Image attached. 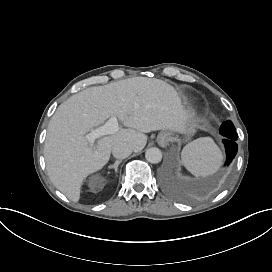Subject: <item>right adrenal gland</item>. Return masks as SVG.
I'll return each mask as SVG.
<instances>
[{
	"label": "right adrenal gland",
	"instance_id": "1",
	"mask_svg": "<svg viewBox=\"0 0 272 272\" xmlns=\"http://www.w3.org/2000/svg\"><path fill=\"white\" fill-rule=\"evenodd\" d=\"M122 161L121 160H117L113 166L109 167L108 169L111 170V169H114L115 172H117L118 170V165L121 163Z\"/></svg>",
	"mask_w": 272,
	"mask_h": 272
}]
</instances>
